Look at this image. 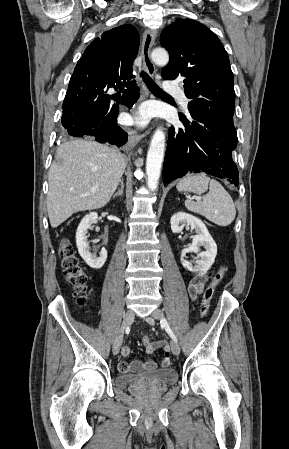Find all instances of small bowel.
Masks as SVG:
<instances>
[{"mask_svg": "<svg viewBox=\"0 0 289 449\" xmlns=\"http://www.w3.org/2000/svg\"><path fill=\"white\" fill-rule=\"evenodd\" d=\"M206 281H207V276H205V275H199L190 281V283L188 285V291H189L190 297L193 300L198 298L200 296V294L203 292ZM143 344L145 345L146 352L149 354H153L157 349L162 347L164 354H162L160 356V359L162 360L160 365L164 369L169 368L170 363H171V358H172L170 355L172 353V348L170 346H167L165 341L149 340L148 343H143ZM129 354H130V348L128 346L123 347L122 355L127 356ZM156 368H157V363L155 360H147L145 362H142L140 360H134L130 363L122 360L118 363V370L121 373L140 372L142 370L150 371V370H154Z\"/></svg>", "mask_w": 289, "mask_h": 449, "instance_id": "small-bowel-1", "label": "small bowel"}]
</instances>
